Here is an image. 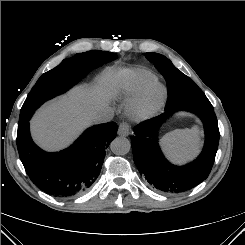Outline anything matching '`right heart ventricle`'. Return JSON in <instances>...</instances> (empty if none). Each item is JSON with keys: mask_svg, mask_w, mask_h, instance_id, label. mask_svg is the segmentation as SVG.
<instances>
[{"mask_svg": "<svg viewBox=\"0 0 245 245\" xmlns=\"http://www.w3.org/2000/svg\"><path fill=\"white\" fill-rule=\"evenodd\" d=\"M156 80V76L151 71L134 69L127 74L122 84V94L127 101H133L147 85L156 82Z\"/></svg>", "mask_w": 245, "mask_h": 245, "instance_id": "1", "label": "right heart ventricle"}]
</instances>
